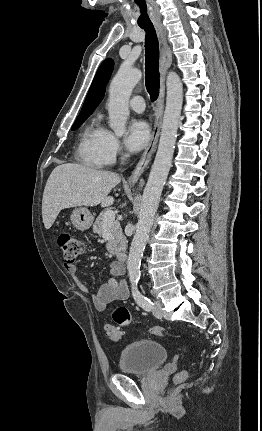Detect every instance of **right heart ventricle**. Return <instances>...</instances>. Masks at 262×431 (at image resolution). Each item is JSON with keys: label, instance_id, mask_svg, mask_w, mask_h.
Masks as SVG:
<instances>
[{"label": "right heart ventricle", "instance_id": "obj_1", "mask_svg": "<svg viewBox=\"0 0 262 431\" xmlns=\"http://www.w3.org/2000/svg\"><path fill=\"white\" fill-rule=\"evenodd\" d=\"M105 131L97 118L92 119L85 126L77 150L80 160L85 165L92 168H100L105 165L102 149Z\"/></svg>", "mask_w": 262, "mask_h": 431}]
</instances>
